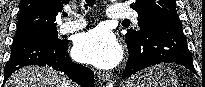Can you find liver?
<instances>
[{
    "instance_id": "liver-1",
    "label": "liver",
    "mask_w": 205,
    "mask_h": 87,
    "mask_svg": "<svg viewBox=\"0 0 205 87\" xmlns=\"http://www.w3.org/2000/svg\"><path fill=\"white\" fill-rule=\"evenodd\" d=\"M5 87H71L66 78L52 68L27 66L11 75Z\"/></svg>"
}]
</instances>
